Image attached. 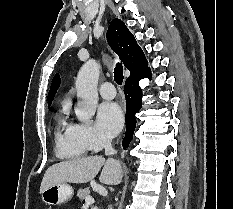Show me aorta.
I'll use <instances>...</instances> for the list:
<instances>
[{
  "label": "aorta",
  "mask_w": 233,
  "mask_h": 209,
  "mask_svg": "<svg viewBox=\"0 0 233 209\" xmlns=\"http://www.w3.org/2000/svg\"><path fill=\"white\" fill-rule=\"evenodd\" d=\"M99 74L100 65L94 60L87 61L78 73L75 85L79 103L75 108V114L81 122L90 121L95 114Z\"/></svg>",
  "instance_id": "obj_1"
}]
</instances>
